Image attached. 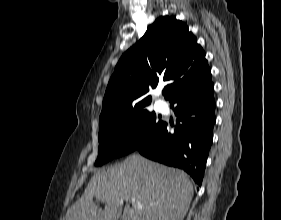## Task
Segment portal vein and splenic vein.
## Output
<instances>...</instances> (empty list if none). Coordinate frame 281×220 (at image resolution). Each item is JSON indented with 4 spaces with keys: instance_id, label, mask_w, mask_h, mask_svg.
Masks as SVG:
<instances>
[{
    "instance_id": "18ae733b",
    "label": "portal vein and splenic vein",
    "mask_w": 281,
    "mask_h": 220,
    "mask_svg": "<svg viewBox=\"0 0 281 220\" xmlns=\"http://www.w3.org/2000/svg\"><path fill=\"white\" fill-rule=\"evenodd\" d=\"M136 199L135 198H132V203H135Z\"/></svg>"
}]
</instances>
